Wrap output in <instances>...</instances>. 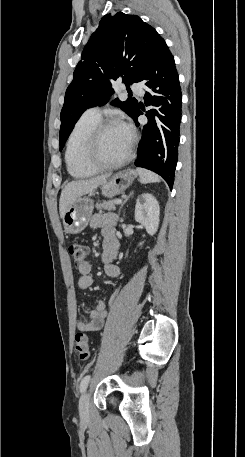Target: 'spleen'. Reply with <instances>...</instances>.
Wrapping results in <instances>:
<instances>
[{"label":"spleen","instance_id":"obj_1","mask_svg":"<svg viewBox=\"0 0 245 457\" xmlns=\"http://www.w3.org/2000/svg\"><path fill=\"white\" fill-rule=\"evenodd\" d=\"M137 174H139L140 182L146 184V182H160V176L151 172V170H146V168H137Z\"/></svg>","mask_w":245,"mask_h":457}]
</instances>
